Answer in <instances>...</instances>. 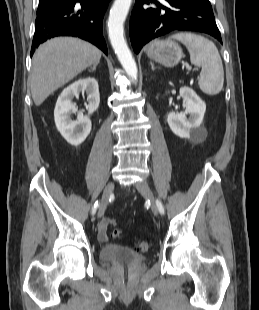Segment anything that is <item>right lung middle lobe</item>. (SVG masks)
I'll return each mask as SVG.
<instances>
[{
    "label": "right lung middle lobe",
    "mask_w": 259,
    "mask_h": 310,
    "mask_svg": "<svg viewBox=\"0 0 259 310\" xmlns=\"http://www.w3.org/2000/svg\"><path fill=\"white\" fill-rule=\"evenodd\" d=\"M57 1H60V0H39V6H44L51 2H57Z\"/></svg>",
    "instance_id": "right-lung-middle-lobe-1"
}]
</instances>
